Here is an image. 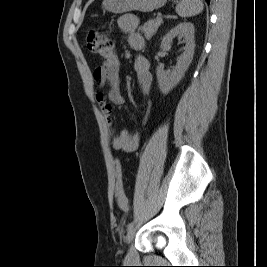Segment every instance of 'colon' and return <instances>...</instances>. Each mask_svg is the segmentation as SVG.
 I'll return each mask as SVG.
<instances>
[{"mask_svg":"<svg viewBox=\"0 0 267 267\" xmlns=\"http://www.w3.org/2000/svg\"><path fill=\"white\" fill-rule=\"evenodd\" d=\"M87 47L90 52L109 60L114 56L115 47L108 35L99 30H92L87 35ZM115 196L119 207L128 212L130 210L129 200L123 189V177L121 163L115 161Z\"/></svg>","mask_w":267,"mask_h":267,"instance_id":"1","label":"colon"}]
</instances>
